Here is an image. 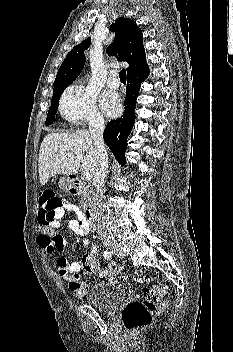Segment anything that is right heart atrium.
<instances>
[{
    "label": "right heart atrium",
    "instance_id": "d8ad5b80",
    "mask_svg": "<svg viewBox=\"0 0 233 352\" xmlns=\"http://www.w3.org/2000/svg\"><path fill=\"white\" fill-rule=\"evenodd\" d=\"M59 111L73 125L103 122L95 94L81 84H72L63 92Z\"/></svg>",
    "mask_w": 233,
    "mask_h": 352
}]
</instances>
